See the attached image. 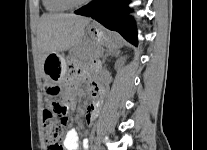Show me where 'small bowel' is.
Here are the masks:
<instances>
[{
  "instance_id": "small-bowel-1",
  "label": "small bowel",
  "mask_w": 207,
  "mask_h": 150,
  "mask_svg": "<svg viewBox=\"0 0 207 150\" xmlns=\"http://www.w3.org/2000/svg\"><path fill=\"white\" fill-rule=\"evenodd\" d=\"M80 78H72L69 80V91L66 96L67 107L70 109H74L76 107V97L79 90ZM93 83L91 85V92L93 95L92 102L87 107L86 121L88 124L92 123L94 120L98 109L101 105V96H102V88L98 85V90L93 93ZM82 150H91V140H82ZM64 150H78L79 147V137L75 129H69L63 139Z\"/></svg>"
}]
</instances>
